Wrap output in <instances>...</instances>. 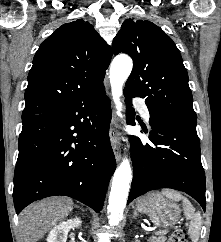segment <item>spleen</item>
<instances>
[{"label": "spleen", "instance_id": "3e777b00", "mask_svg": "<svg viewBox=\"0 0 221 242\" xmlns=\"http://www.w3.org/2000/svg\"><path fill=\"white\" fill-rule=\"evenodd\" d=\"M162 195L174 201H182L185 217L190 220L188 231L190 238L193 242H197L201 229L200 213H196L195 208L193 207L191 202L177 191L171 189H164L162 190Z\"/></svg>", "mask_w": 221, "mask_h": 242}]
</instances>
